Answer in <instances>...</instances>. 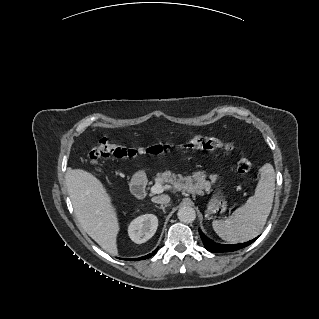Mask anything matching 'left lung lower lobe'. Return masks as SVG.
I'll return each instance as SVG.
<instances>
[{
	"instance_id": "left-lung-lower-lobe-1",
	"label": "left lung lower lobe",
	"mask_w": 319,
	"mask_h": 319,
	"mask_svg": "<svg viewBox=\"0 0 319 319\" xmlns=\"http://www.w3.org/2000/svg\"><path fill=\"white\" fill-rule=\"evenodd\" d=\"M199 234L203 241L204 247L210 252H232L250 245L258 238L256 237L253 240L245 242V243L225 245V244L212 242L201 232L200 229H199Z\"/></svg>"
}]
</instances>
